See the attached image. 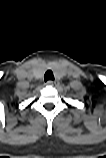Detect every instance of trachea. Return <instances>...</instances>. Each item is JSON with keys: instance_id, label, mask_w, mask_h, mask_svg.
Masks as SVG:
<instances>
[{"instance_id": "trachea-1", "label": "trachea", "mask_w": 106, "mask_h": 158, "mask_svg": "<svg viewBox=\"0 0 106 158\" xmlns=\"http://www.w3.org/2000/svg\"><path fill=\"white\" fill-rule=\"evenodd\" d=\"M44 80L48 81V80H54V75L53 72L51 70H48L45 75H44Z\"/></svg>"}]
</instances>
